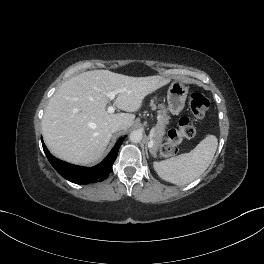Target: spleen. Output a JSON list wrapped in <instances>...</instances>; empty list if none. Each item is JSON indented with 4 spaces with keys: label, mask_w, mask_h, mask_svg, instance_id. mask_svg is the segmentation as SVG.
I'll return each instance as SVG.
<instances>
[{
    "label": "spleen",
    "mask_w": 264,
    "mask_h": 264,
    "mask_svg": "<svg viewBox=\"0 0 264 264\" xmlns=\"http://www.w3.org/2000/svg\"><path fill=\"white\" fill-rule=\"evenodd\" d=\"M217 145V137L215 135H207L189 153L154 162V170L160 178L167 182L178 186L187 185L201 176L209 167Z\"/></svg>",
    "instance_id": "spleen-1"
}]
</instances>
